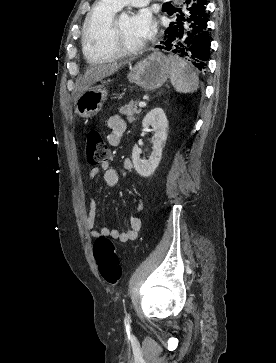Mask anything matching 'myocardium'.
I'll return each mask as SVG.
<instances>
[{"label":"myocardium","mask_w":276,"mask_h":363,"mask_svg":"<svg viewBox=\"0 0 276 363\" xmlns=\"http://www.w3.org/2000/svg\"><path fill=\"white\" fill-rule=\"evenodd\" d=\"M109 47L117 55V57L125 56H136L142 53L148 46V42L134 47L127 48L123 46L120 42V16H116L112 21L109 28Z\"/></svg>","instance_id":"f54148a6"}]
</instances>
